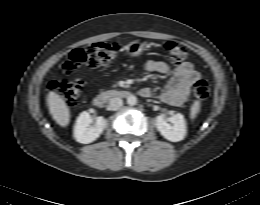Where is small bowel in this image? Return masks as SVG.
<instances>
[{
	"label": "small bowel",
	"instance_id": "small-bowel-1",
	"mask_svg": "<svg viewBox=\"0 0 260 205\" xmlns=\"http://www.w3.org/2000/svg\"><path fill=\"white\" fill-rule=\"evenodd\" d=\"M145 69L149 73L167 75L171 72L170 66L165 61L150 60L146 63ZM201 78L200 73L190 62H183L177 65L165 86L159 94V99L166 105L179 107L189 98L191 88ZM140 94L143 97L151 95L150 88H142Z\"/></svg>",
	"mask_w": 260,
	"mask_h": 205
}]
</instances>
